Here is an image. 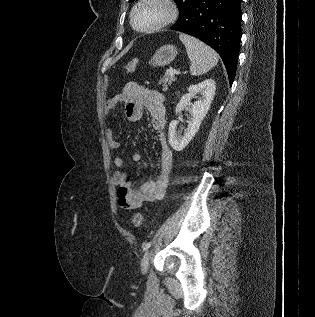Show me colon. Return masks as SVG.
I'll return each mask as SVG.
<instances>
[{
	"instance_id": "colon-1",
	"label": "colon",
	"mask_w": 315,
	"mask_h": 317,
	"mask_svg": "<svg viewBox=\"0 0 315 317\" xmlns=\"http://www.w3.org/2000/svg\"><path fill=\"white\" fill-rule=\"evenodd\" d=\"M137 64H138V60L136 58L131 59L125 64L124 69L126 72L131 73L136 69ZM143 221H144V218L141 213H135L132 217V222L135 227H141L143 224Z\"/></svg>"
}]
</instances>
